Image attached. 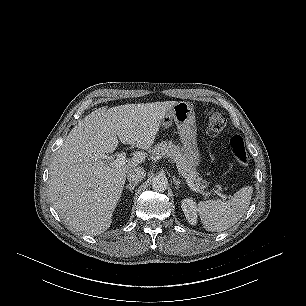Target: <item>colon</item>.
Returning a JSON list of instances; mask_svg holds the SVG:
<instances>
[{"label":"colon","mask_w":306,"mask_h":306,"mask_svg":"<svg viewBox=\"0 0 306 306\" xmlns=\"http://www.w3.org/2000/svg\"><path fill=\"white\" fill-rule=\"evenodd\" d=\"M204 118L206 131L210 136L220 133L226 126V117L219 111L207 109L205 110ZM229 148L238 163L246 165L249 162V154L241 136H232L229 140Z\"/></svg>","instance_id":"colon-1"}]
</instances>
